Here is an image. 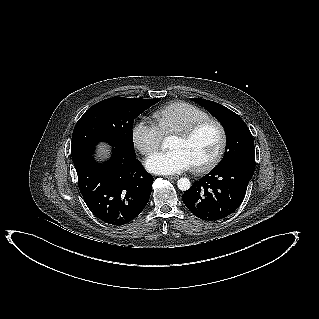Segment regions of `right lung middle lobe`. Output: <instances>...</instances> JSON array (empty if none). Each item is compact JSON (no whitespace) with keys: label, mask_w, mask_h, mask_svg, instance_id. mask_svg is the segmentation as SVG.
<instances>
[{"label":"right lung middle lobe","mask_w":319,"mask_h":319,"mask_svg":"<svg viewBox=\"0 0 319 319\" xmlns=\"http://www.w3.org/2000/svg\"><path fill=\"white\" fill-rule=\"evenodd\" d=\"M158 101L160 98L113 97L93 105L74 128L71 154L94 148L98 142L104 141L126 156H135L132 139L134 119Z\"/></svg>","instance_id":"1"}]
</instances>
